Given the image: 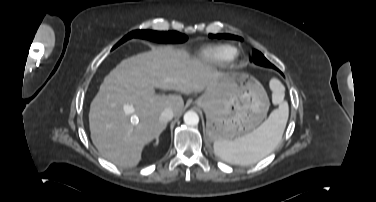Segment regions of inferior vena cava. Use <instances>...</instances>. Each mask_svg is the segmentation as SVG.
Returning a JSON list of instances; mask_svg holds the SVG:
<instances>
[{"label":"inferior vena cava","mask_w":376,"mask_h":202,"mask_svg":"<svg viewBox=\"0 0 376 202\" xmlns=\"http://www.w3.org/2000/svg\"><path fill=\"white\" fill-rule=\"evenodd\" d=\"M174 116V112L170 108H166L161 114H160V120L164 122H168L172 120Z\"/></svg>","instance_id":"inferior-vena-cava-1"}]
</instances>
